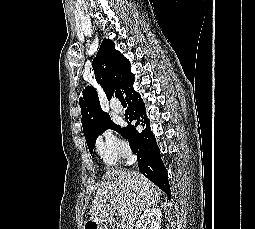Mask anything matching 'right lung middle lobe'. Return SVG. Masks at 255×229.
<instances>
[{"label":"right lung middle lobe","mask_w":255,"mask_h":229,"mask_svg":"<svg viewBox=\"0 0 255 229\" xmlns=\"http://www.w3.org/2000/svg\"><path fill=\"white\" fill-rule=\"evenodd\" d=\"M106 129H113V130H116L117 132L122 133V134H123V132H124V129H121L119 126L115 125L110 119L105 120V121L97 128V130H96V132L94 133V135H93L91 138H89V139L86 140L90 152L93 151V148H94V146H95V142H96L97 137H98L102 132H104Z\"/></svg>","instance_id":"1"}]
</instances>
